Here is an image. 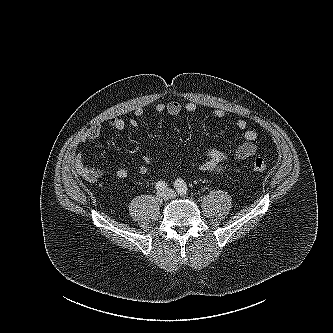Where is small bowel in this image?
I'll return each mask as SVG.
<instances>
[{
	"label": "small bowel",
	"mask_w": 333,
	"mask_h": 333,
	"mask_svg": "<svg viewBox=\"0 0 333 333\" xmlns=\"http://www.w3.org/2000/svg\"><path fill=\"white\" fill-rule=\"evenodd\" d=\"M196 105L193 102H188L185 105L180 104L177 101H169L167 103L159 102L155 106L156 112L162 114L167 113L170 116H178L183 111L187 113H194L196 111ZM143 109L139 108L135 111L137 117L143 116ZM213 116L216 118H223L225 112L222 109H215ZM108 126L116 131H123L127 127L135 128L138 126V121L135 118L125 121L122 118H112L107 122ZM236 128L242 132L243 143L239 145L234 151V158L237 161H243L249 157L255 155L257 146L255 141L257 139L256 131L248 128V123L244 119H238L235 122ZM103 125L101 123L95 124L90 127L82 136L81 141L83 143H91L96 141L102 134ZM205 160L196 165V170L201 173L207 174H223L227 168L225 162L229 158V154L226 151L219 149H208L204 152ZM151 163V159L148 156L143 157V162L136 167L139 174L145 175L148 172V165ZM72 172L82 176L89 181H97L101 179L106 173L113 174L118 179H125L129 176V169L126 167L120 168L115 172H112L111 168L105 170L99 168L86 167L83 163L80 154L75 155L71 160Z\"/></svg>",
	"instance_id": "small-bowel-1"
}]
</instances>
